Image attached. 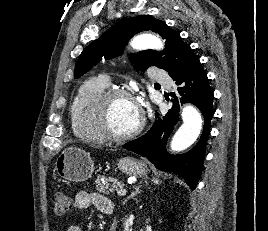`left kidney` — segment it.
<instances>
[{"label":"left kidney","instance_id":"obj_1","mask_svg":"<svg viewBox=\"0 0 268 231\" xmlns=\"http://www.w3.org/2000/svg\"><path fill=\"white\" fill-rule=\"evenodd\" d=\"M148 221H149V219L147 220V223H148ZM146 231H152V229H151V226H146Z\"/></svg>","mask_w":268,"mask_h":231}]
</instances>
